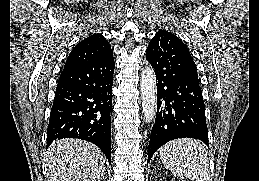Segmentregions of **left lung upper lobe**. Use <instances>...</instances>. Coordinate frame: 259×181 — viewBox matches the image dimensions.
I'll list each match as a JSON object with an SVG mask.
<instances>
[{"label": "left lung upper lobe", "mask_w": 259, "mask_h": 181, "mask_svg": "<svg viewBox=\"0 0 259 181\" xmlns=\"http://www.w3.org/2000/svg\"><path fill=\"white\" fill-rule=\"evenodd\" d=\"M162 37H176V36L168 31L159 30L151 41L158 40ZM182 46L186 50V57L184 59V64H185L186 70L189 73V75L195 81L198 82V74H197V68H196L195 62L193 61V58L191 57L189 50L187 49L186 45L183 42H182Z\"/></svg>", "instance_id": "left-lung-upper-lobe-1"}]
</instances>
